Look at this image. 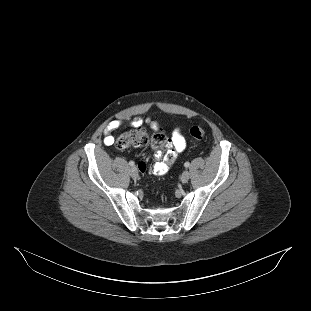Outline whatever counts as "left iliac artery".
<instances>
[{"mask_svg":"<svg viewBox=\"0 0 311 311\" xmlns=\"http://www.w3.org/2000/svg\"><path fill=\"white\" fill-rule=\"evenodd\" d=\"M189 165H190L189 162H185V163H184V166H185V167H189Z\"/></svg>","mask_w":311,"mask_h":311,"instance_id":"1","label":"left iliac artery"}]
</instances>
